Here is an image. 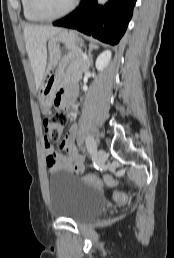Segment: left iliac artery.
<instances>
[{"label":"left iliac artery","instance_id":"44dca946","mask_svg":"<svg viewBox=\"0 0 174 258\" xmlns=\"http://www.w3.org/2000/svg\"><path fill=\"white\" fill-rule=\"evenodd\" d=\"M86 148L90 154H94L96 152L97 146L92 136H88L86 138Z\"/></svg>","mask_w":174,"mask_h":258}]
</instances>
